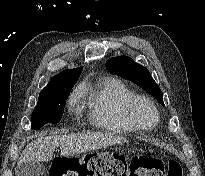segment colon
Here are the masks:
<instances>
[{
	"mask_svg": "<svg viewBox=\"0 0 205 176\" xmlns=\"http://www.w3.org/2000/svg\"><path fill=\"white\" fill-rule=\"evenodd\" d=\"M180 163L169 160L168 166L150 155L123 157L104 152L87 153L82 157L55 156L49 176H182Z\"/></svg>",
	"mask_w": 205,
	"mask_h": 176,
	"instance_id": "5ec220e1",
	"label": "colon"
}]
</instances>
